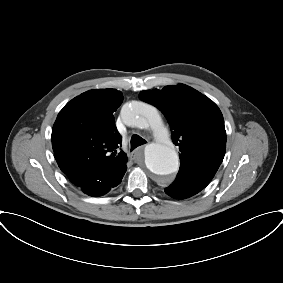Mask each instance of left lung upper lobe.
I'll list each match as a JSON object with an SVG mask.
<instances>
[{"label":"left lung upper lobe","instance_id":"left-lung-upper-lobe-1","mask_svg":"<svg viewBox=\"0 0 283 283\" xmlns=\"http://www.w3.org/2000/svg\"><path fill=\"white\" fill-rule=\"evenodd\" d=\"M140 98L166 116L181 159L177 177L208 185L223 161L226 131L218 106L197 90L184 85L145 90Z\"/></svg>","mask_w":283,"mask_h":283}]
</instances>
